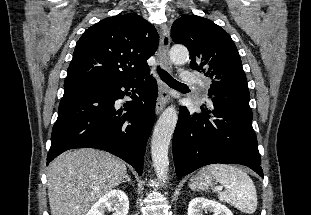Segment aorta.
Segmentation results:
<instances>
[{"label":"aorta","mask_w":311,"mask_h":215,"mask_svg":"<svg viewBox=\"0 0 311 215\" xmlns=\"http://www.w3.org/2000/svg\"><path fill=\"white\" fill-rule=\"evenodd\" d=\"M189 52L182 45H175L170 50V60L175 64L185 63ZM178 114L174 106L166 108L155 125L151 139V156L157 178L165 183L169 170L168 149Z\"/></svg>","instance_id":"aorta-1"}]
</instances>
